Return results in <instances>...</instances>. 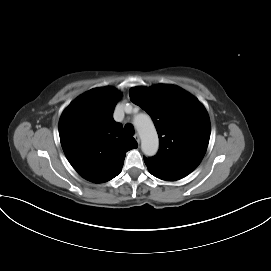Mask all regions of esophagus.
<instances>
[{
	"label": "esophagus",
	"instance_id": "esophagus-1",
	"mask_svg": "<svg viewBox=\"0 0 271 271\" xmlns=\"http://www.w3.org/2000/svg\"><path fill=\"white\" fill-rule=\"evenodd\" d=\"M134 138H135L136 142L139 144V143H140V136H139L138 133H136V134L134 135Z\"/></svg>",
	"mask_w": 271,
	"mask_h": 271
}]
</instances>
